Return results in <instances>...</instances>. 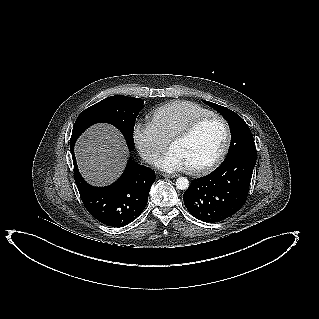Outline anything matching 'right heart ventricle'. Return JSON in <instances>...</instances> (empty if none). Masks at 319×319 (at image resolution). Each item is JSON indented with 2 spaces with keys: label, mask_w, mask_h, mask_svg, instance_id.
<instances>
[{
  "label": "right heart ventricle",
  "mask_w": 319,
  "mask_h": 319,
  "mask_svg": "<svg viewBox=\"0 0 319 319\" xmlns=\"http://www.w3.org/2000/svg\"><path fill=\"white\" fill-rule=\"evenodd\" d=\"M209 114L213 112L197 103L176 100L155 108L149 118L162 137L169 141L192 120Z\"/></svg>",
  "instance_id": "right-heart-ventricle-1"
}]
</instances>
